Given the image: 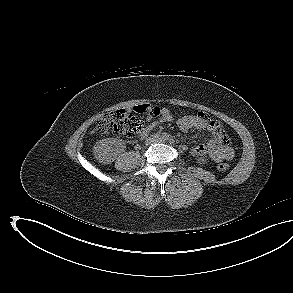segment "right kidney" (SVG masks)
Masks as SVG:
<instances>
[{
  "label": "right kidney",
  "instance_id": "obj_1",
  "mask_svg": "<svg viewBox=\"0 0 293 293\" xmlns=\"http://www.w3.org/2000/svg\"><path fill=\"white\" fill-rule=\"evenodd\" d=\"M124 147V143L121 140L107 138L95 143L93 153L100 163L110 164L116 159V152Z\"/></svg>",
  "mask_w": 293,
  "mask_h": 293
}]
</instances>
